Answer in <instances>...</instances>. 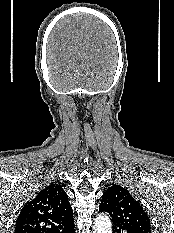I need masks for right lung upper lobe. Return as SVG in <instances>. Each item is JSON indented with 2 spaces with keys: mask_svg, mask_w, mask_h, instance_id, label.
<instances>
[{
  "mask_svg": "<svg viewBox=\"0 0 174 233\" xmlns=\"http://www.w3.org/2000/svg\"><path fill=\"white\" fill-rule=\"evenodd\" d=\"M74 225L68 195L58 184H50L24 205L14 233H65Z\"/></svg>",
  "mask_w": 174,
  "mask_h": 233,
  "instance_id": "1",
  "label": "right lung upper lobe"
}]
</instances>
